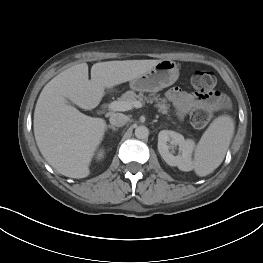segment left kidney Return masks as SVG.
<instances>
[{
	"instance_id": "5707ae66",
	"label": "left kidney",
	"mask_w": 263,
	"mask_h": 263,
	"mask_svg": "<svg viewBox=\"0 0 263 263\" xmlns=\"http://www.w3.org/2000/svg\"><path fill=\"white\" fill-rule=\"evenodd\" d=\"M178 146L179 154L174 155L172 149ZM195 148V142L191 139H185L183 135L171 131L162 130L158 134V151L165 162L170 166H177L182 171L192 169V153Z\"/></svg>"
}]
</instances>
